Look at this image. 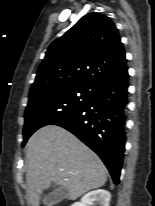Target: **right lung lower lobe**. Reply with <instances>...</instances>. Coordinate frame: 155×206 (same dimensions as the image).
Wrapping results in <instances>:
<instances>
[{"instance_id":"right-lung-lower-lobe-1","label":"right lung lower lobe","mask_w":155,"mask_h":206,"mask_svg":"<svg viewBox=\"0 0 155 206\" xmlns=\"http://www.w3.org/2000/svg\"><path fill=\"white\" fill-rule=\"evenodd\" d=\"M128 72L101 86L81 109L53 125L77 136L102 159L119 183L125 150Z\"/></svg>"}]
</instances>
